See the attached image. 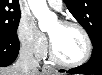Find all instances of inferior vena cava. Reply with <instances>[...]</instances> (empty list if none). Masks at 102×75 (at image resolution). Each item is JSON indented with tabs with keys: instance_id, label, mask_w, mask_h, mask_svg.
<instances>
[{
	"instance_id": "obj_1",
	"label": "inferior vena cava",
	"mask_w": 102,
	"mask_h": 75,
	"mask_svg": "<svg viewBox=\"0 0 102 75\" xmlns=\"http://www.w3.org/2000/svg\"><path fill=\"white\" fill-rule=\"evenodd\" d=\"M16 66L22 71L24 75H30L38 71L39 63L34 58L33 51L29 45H23L20 49Z\"/></svg>"
}]
</instances>
